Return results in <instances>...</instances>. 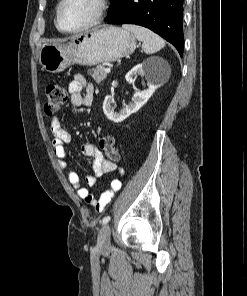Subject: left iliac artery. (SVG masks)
Wrapping results in <instances>:
<instances>
[{
	"label": "left iliac artery",
	"instance_id": "left-iliac-artery-1",
	"mask_svg": "<svg viewBox=\"0 0 247 296\" xmlns=\"http://www.w3.org/2000/svg\"><path fill=\"white\" fill-rule=\"evenodd\" d=\"M109 221H110V216H106V217L103 218V220H102V224H103V225H104V224H107Z\"/></svg>",
	"mask_w": 247,
	"mask_h": 296
}]
</instances>
